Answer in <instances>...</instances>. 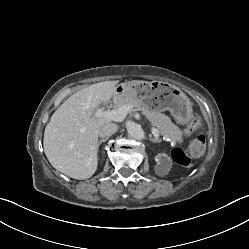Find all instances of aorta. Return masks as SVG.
Listing matches in <instances>:
<instances>
[{"mask_svg":"<svg viewBox=\"0 0 249 249\" xmlns=\"http://www.w3.org/2000/svg\"><path fill=\"white\" fill-rule=\"evenodd\" d=\"M127 131L129 135L137 140H142L145 137L143 129L134 122L127 123Z\"/></svg>","mask_w":249,"mask_h":249,"instance_id":"obj_1","label":"aorta"}]
</instances>
